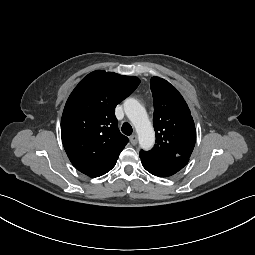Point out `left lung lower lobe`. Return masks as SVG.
I'll use <instances>...</instances> for the list:
<instances>
[{"label":"left lung lower lobe","instance_id":"1","mask_svg":"<svg viewBox=\"0 0 255 255\" xmlns=\"http://www.w3.org/2000/svg\"><path fill=\"white\" fill-rule=\"evenodd\" d=\"M143 167L151 174L159 177H169L180 171L189 161V158H177L171 162L153 161L139 153Z\"/></svg>","mask_w":255,"mask_h":255}]
</instances>
